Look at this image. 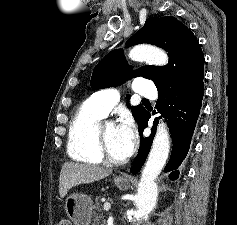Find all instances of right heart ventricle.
Here are the masks:
<instances>
[{
	"mask_svg": "<svg viewBox=\"0 0 237 225\" xmlns=\"http://www.w3.org/2000/svg\"><path fill=\"white\" fill-rule=\"evenodd\" d=\"M104 116L91 98L79 107L69 125L67 150L73 160L87 164L102 162L97 146L96 129Z\"/></svg>",
	"mask_w": 237,
	"mask_h": 225,
	"instance_id": "right-heart-ventricle-1",
	"label": "right heart ventricle"
}]
</instances>
